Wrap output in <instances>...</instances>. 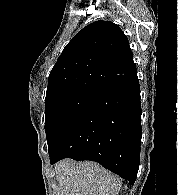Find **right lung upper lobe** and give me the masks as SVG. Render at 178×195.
Masks as SVG:
<instances>
[{
  "instance_id": "right-lung-upper-lobe-1",
  "label": "right lung upper lobe",
  "mask_w": 178,
  "mask_h": 195,
  "mask_svg": "<svg viewBox=\"0 0 178 195\" xmlns=\"http://www.w3.org/2000/svg\"><path fill=\"white\" fill-rule=\"evenodd\" d=\"M135 74L129 42L119 26L93 22L65 46L50 72L46 100L71 91L99 92Z\"/></svg>"
}]
</instances>
